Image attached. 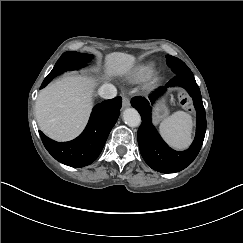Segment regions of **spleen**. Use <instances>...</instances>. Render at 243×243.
Segmentation results:
<instances>
[{
	"mask_svg": "<svg viewBox=\"0 0 243 243\" xmlns=\"http://www.w3.org/2000/svg\"><path fill=\"white\" fill-rule=\"evenodd\" d=\"M192 127L191 116L183 111H177L161 122L159 131L172 148L184 150L192 142Z\"/></svg>",
	"mask_w": 243,
	"mask_h": 243,
	"instance_id": "spleen-1",
	"label": "spleen"
}]
</instances>
